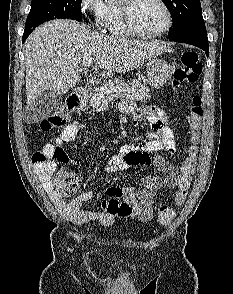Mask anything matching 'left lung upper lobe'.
<instances>
[{
  "instance_id": "1",
  "label": "left lung upper lobe",
  "mask_w": 233,
  "mask_h": 294,
  "mask_svg": "<svg viewBox=\"0 0 233 294\" xmlns=\"http://www.w3.org/2000/svg\"><path fill=\"white\" fill-rule=\"evenodd\" d=\"M170 11L173 29L168 38L198 34L207 35L200 0H162Z\"/></svg>"
}]
</instances>
